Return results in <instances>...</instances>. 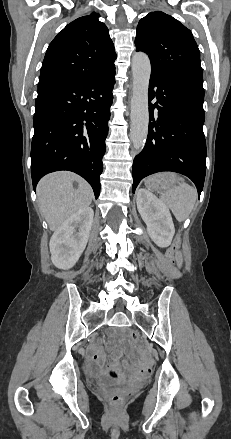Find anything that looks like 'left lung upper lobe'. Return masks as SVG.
<instances>
[{
  "mask_svg": "<svg viewBox=\"0 0 231 439\" xmlns=\"http://www.w3.org/2000/svg\"><path fill=\"white\" fill-rule=\"evenodd\" d=\"M135 45L149 55L151 74L188 77L203 81L200 52L191 31L160 11L139 21Z\"/></svg>",
  "mask_w": 231,
  "mask_h": 439,
  "instance_id": "1",
  "label": "left lung upper lobe"
}]
</instances>
